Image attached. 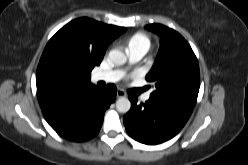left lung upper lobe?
Wrapping results in <instances>:
<instances>
[{"instance_id": "5c2ea615", "label": "left lung upper lobe", "mask_w": 248, "mask_h": 165, "mask_svg": "<svg viewBox=\"0 0 248 165\" xmlns=\"http://www.w3.org/2000/svg\"><path fill=\"white\" fill-rule=\"evenodd\" d=\"M161 36L160 49L146 80L154 84L150 98L193 109L200 86L197 58L188 42L161 24L145 26Z\"/></svg>"}]
</instances>
